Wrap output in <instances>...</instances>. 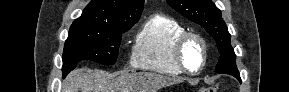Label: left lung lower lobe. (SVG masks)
Masks as SVG:
<instances>
[{
	"instance_id": "1",
	"label": "left lung lower lobe",
	"mask_w": 289,
	"mask_h": 92,
	"mask_svg": "<svg viewBox=\"0 0 289 92\" xmlns=\"http://www.w3.org/2000/svg\"><path fill=\"white\" fill-rule=\"evenodd\" d=\"M236 78H238L240 80V76L239 75Z\"/></svg>"
}]
</instances>
